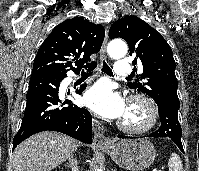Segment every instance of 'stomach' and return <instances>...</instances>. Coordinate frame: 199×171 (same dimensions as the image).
<instances>
[{
    "label": "stomach",
    "mask_w": 199,
    "mask_h": 171,
    "mask_svg": "<svg viewBox=\"0 0 199 171\" xmlns=\"http://www.w3.org/2000/svg\"><path fill=\"white\" fill-rule=\"evenodd\" d=\"M120 167L130 171H142L155 160V149L150 141L143 138L121 139L101 148Z\"/></svg>",
    "instance_id": "0dacf381"
}]
</instances>
